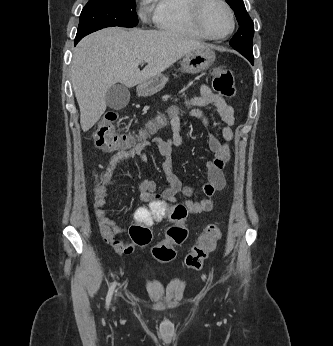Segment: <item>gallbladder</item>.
I'll list each match as a JSON object with an SVG mask.
<instances>
[{
  "instance_id": "gallbladder-1",
  "label": "gallbladder",
  "mask_w": 333,
  "mask_h": 346,
  "mask_svg": "<svg viewBox=\"0 0 333 346\" xmlns=\"http://www.w3.org/2000/svg\"><path fill=\"white\" fill-rule=\"evenodd\" d=\"M105 100L109 108L114 110H121L125 108L129 103V89L122 84H115L107 90Z\"/></svg>"
}]
</instances>
